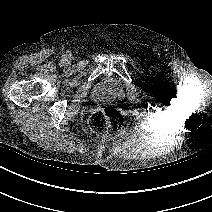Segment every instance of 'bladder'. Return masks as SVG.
Segmentation results:
<instances>
[{
    "mask_svg": "<svg viewBox=\"0 0 212 212\" xmlns=\"http://www.w3.org/2000/svg\"><path fill=\"white\" fill-rule=\"evenodd\" d=\"M94 93L99 98L113 100L121 99L124 96V91L121 85L113 81H102L96 86Z\"/></svg>",
    "mask_w": 212,
    "mask_h": 212,
    "instance_id": "1",
    "label": "bladder"
}]
</instances>
